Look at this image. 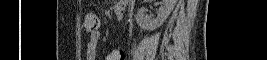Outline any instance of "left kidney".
<instances>
[{
  "label": "left kidney",
  "instance_id": "5707ae66",
  "mask_svg": "<svg viewBox=\"0 0 267 60\" xmlns=\"http://www.w3.org/2000/svg\"><path fill=\"white\" fill-rule=\"evenodd\" d=\"M177 0H162V4L157 11V17L152 18L146 11L141 8L138 10L136 15L137 24L145 30H155L160 27L168 18L170 13L173 11Z\"/></svg>",
  "mask_w": 267,
  "mask_h": 60
}]
</instances>
